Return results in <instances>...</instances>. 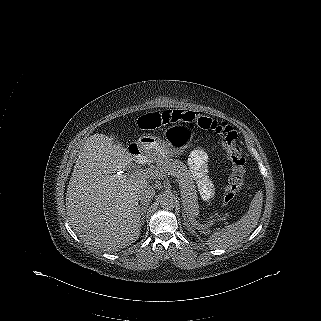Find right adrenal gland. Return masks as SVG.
<instances>
[{
	"mask_svg": "<svg viewBox=\"0 0 321 321\" xmlns=\"http://www.w3.org/2000/svg\"><path fill=\"white\" fill-rule=\"evenodd\" d=\"M149 203H144L140 206V216H141V223L144 224V218L146 214V209L148 208Z\"/></svg>",
	"mask_w": 321,
	"mask_h": 321,
	"instance_id": "2a0ac1e0",
	"label": "right adrenal gland"
}]
</instances>
